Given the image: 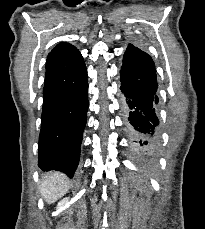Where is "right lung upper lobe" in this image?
Returning <instances> with one entry per match:
<instances>
[{
    "label": "right lung upper lobe",
    "instance_id": "obj_1",
    "mask_svg": "<svg viewBox=\"0 0 205 229\" xmlns=\"http://www.w3.org/2000/svg\"><path fill=\"white\" fill-rule=\"evenodd\" d=\"M53 51L64 57L65 62L69 66L76 65L83 59L80 52L69 43L62 42Z\"/></svg>",
    "mask_w": 205,
    "mask_h": 229
}]
</instances>
